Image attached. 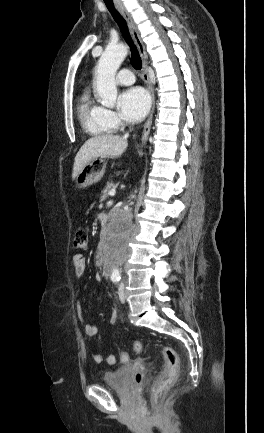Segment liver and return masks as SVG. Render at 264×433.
Listing matches in <instances>:
<instances>
[{
    "mask_svg": "<svg viewBox=\"0 0 264 433\" xmlns=\"http://www.w3.org/2000/svg\"><path fill=\"white\" fill-rule=\"evenodd\" d=\"M128 146L127 139L118 135H100L90 138L78 151L72 172L75 179L86 163L94 158L119 157Z\"/></svg>",
    "mask_w": 264,
    "mask_h": 433,
    "instance_id": "liver-1",
    "label": "liver"
}]
</instances>
